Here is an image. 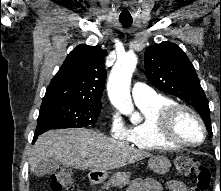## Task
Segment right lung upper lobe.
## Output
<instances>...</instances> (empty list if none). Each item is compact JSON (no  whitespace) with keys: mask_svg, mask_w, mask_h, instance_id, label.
<instances>
[{"mask_svg":"<svg viewBox=\"0 0 221 191\" xmlns=\"http://www.w3.org/2000/svg\"><path fill=\"white\" fill-rule=\"evenodd\" d=\"M100 46L79 45L67 56L50 82L42 104L59 102L101 103L105 86L104 57Z\"/></svg>","mask_w":221,"mask_h":191,"instance_id":"1","label":"right lung upper lobe"}]
</instances>
